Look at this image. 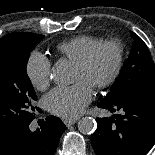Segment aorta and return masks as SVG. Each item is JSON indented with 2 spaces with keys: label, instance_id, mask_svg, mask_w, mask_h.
<instances>
[{
  "label": "aorta",
  "instance_id": "762f6f07",
  "mask_svg": "<svg viewBox=\"0 0 155 155\" xmlns=\"http://www.w3.org/2000/svg\"><path fill=\"white\" fill-rule=\"evenodd\" d=\"M51 79L57 85L69 84L72 79V71L65 61H58L52 68ZM97 127L95 119L85 116L78 121V129L82 134H92Z\"/></svg>",
  "mask_w": 155,
  "mask_h": 155
}]
</instances>
